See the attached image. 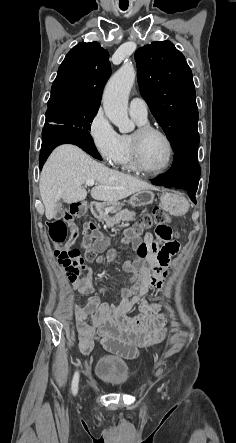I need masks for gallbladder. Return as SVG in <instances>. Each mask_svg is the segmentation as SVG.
<instances>
[{"instance_id": "gallbladder-1", "label": "gallbladder", "mask_w": 236, "mask_h": 443, "mask_svg": "<svg viewBox=\"0 0 236 443\" xmlns=\"http://www.w3.org/2000/svg\"><path fill=\"white\" fill-rule=\"evenodd\" d=\"M61 216H62V202L61 201H59V202H57V205H56V214H55V219H59V218H61Z\"/></svg>"}]
</instances>
